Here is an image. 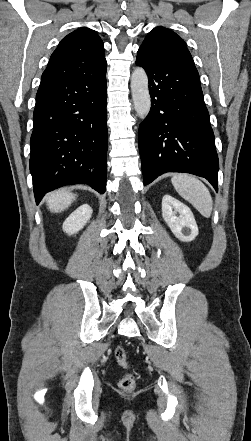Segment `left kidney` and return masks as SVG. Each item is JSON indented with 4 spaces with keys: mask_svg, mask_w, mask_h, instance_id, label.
<instances>
[{
    "mask_svg": "<svg viewBox=\"0 0 251 441\" xmlns=\"http://www.w3.org/2000/svg\"><path fill=\"white\" fill-rule=\"evenodd\" d=\"M162 216L180 241L190 242L198 235V227L190 208L167 194L162 198Z\"/></svg>",
    "mask_w": 251,
    "mask_h": 441,
    "instance_id": "obj_1",
    "label": "left kidney"
}]
</instances>
